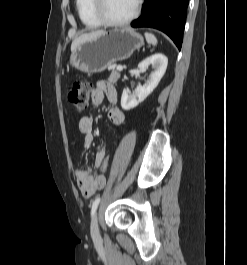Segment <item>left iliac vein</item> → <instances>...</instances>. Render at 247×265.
I'll use <instances>...</instances> for the list:
<instances>
[{
    "mask_svg": "<svg viewBox=\"0 0 247 265\" xmlns=\"http://www.w3.org/2000/svg\"><path fill=\"white\" fill-rule=\"evenodd\" d=\"M91 236L93 238H96L99 236L98 218L96 214L93 216L92 222H91Z\"/></svg>",
    "mask_w": 247,
    "mask_h": 265,
    "instance_id": "4c4485c4",
    "label": "left iliac vein"
}]
</instances>
